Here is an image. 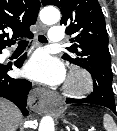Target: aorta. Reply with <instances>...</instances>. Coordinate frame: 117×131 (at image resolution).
<instances>
[{
	"label": "aorta",
	"instance_id": "1",
	"mask_svg": "<svg viewBox=\"0 0 117 131\" xmlns=\"http://www.w3.org/2000/svg\"><path fill=\"white\" fill-rule=\"evenodd\" d=\"M44 24H55L60 20V11L55 7H45L40 12ZM39 131H54V121L50 116H44L39 125Z\"/></svg>",
	"mask_w": 117,
	"mask_h": 131
}]
</instances>
